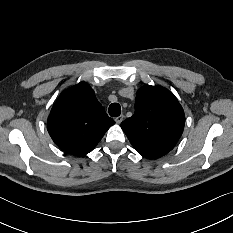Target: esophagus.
<instances>
[{
    "label": "esophagus",
    "instance_id": "34e87169",
    "mask_svg": "<svg viewBox=\"0 0 233 233\" xmlns=\"http://www.w3.org/2000/svg\"><path fill=\"white\" fill-rule=\"evenodd\" d=\"M123 119H124V115H120V116L115 118V122L117 124H120L123 121Z\"/></svg>",
    "mask_w": 233,
    "mask_h": 233
}]
</instances>
